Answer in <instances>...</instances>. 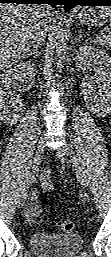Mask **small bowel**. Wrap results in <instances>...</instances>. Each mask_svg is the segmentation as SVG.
<instances>
[{
  "mask_svg": "<svg viewBox=\"0 0 111 257\" xmlns=\"http://www.w3.org/2000/svg\"><path fill=\"white\" fill-rule=\"evenodd\" d=\"M41 184L44 190L52 191L54 189V184L51 180L50 169H45L41 175ZM26 216L29 220L36 222L40 220V211L34 205L30 206L26 211Z\"/></svg>",
  "mask_w": 111,
  "mask_h": 257,
  "instance_id": "obj_1",
  "label": "small bowel"
}]
</instances>
